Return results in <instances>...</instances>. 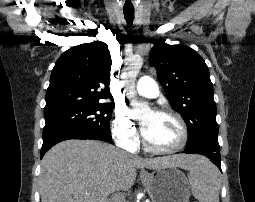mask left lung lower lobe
I'll use <instances>...</instances> for the list:
<instances>
[{
    "label": "left lung lower lobe",
    "instance_id": "0a47b994",
    "mask_svg": "<svg viewBox=\"0 0 255 202\" xmlns=\"http://www.w3.org/2000/svg\"><path fill=\"white\" fill-rule=\"evenodd\" d=\"M184 153H195L204 155L209 158L220 170H221V158H220V150L217 151H197V152H190L185 150Z\"/></svg>",
    "mask_w": 255,
    "mask_h": 202
}]
</instances>
